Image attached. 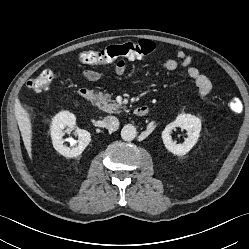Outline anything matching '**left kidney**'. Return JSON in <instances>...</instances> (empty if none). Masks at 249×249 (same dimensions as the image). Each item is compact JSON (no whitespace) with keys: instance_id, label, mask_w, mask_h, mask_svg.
Segmentation results:
<instances>
[{"instance_id":"obj_1","label":"left kidney","mask_w":249,"mask_h":249,"mask_svg":"<svg viewBox=\"0 0 249 249\" xmlns=\"http://www.w3.org/2000/svg\"><path fill=\"white\" fill-rule=\"evenodd\" d=\"M175 127L187 130L188 136L181 144L172 140L171 133ZM201 131V121L191 114H179L174 122L169 123L162 132V139L166 149L178 156L185 155L197 143Z\"/></svg>"}]
</instances>
